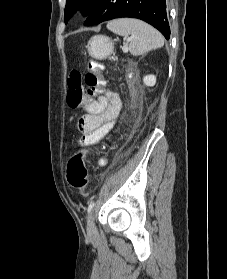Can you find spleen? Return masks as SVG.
<instances>
[{"instance_id":"3e777b00","label":"spleen","mask_w":227,"mask_h":279,"mask_svg":"<svg viewBox=\"0 0 227 279\" xmlns=\"http://www.w3.org/2000/svg\"><path fill=\"white\" fill-rule=\"evenodd\" d=\"M107 29L121 36L131 35L129 50L132 55H142L164 45V38L152 26L137 19H116L108 22Z\"/></svg>"}]
</instances>
